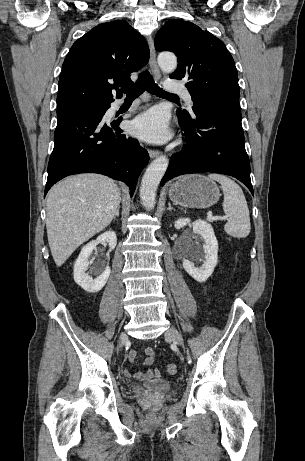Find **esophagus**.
I'll list each match as a JSON object with an SVG mask.
<instances>
[{
    "instance_id": "esophagus-1",
    "label": "esophagus",
    "mask_w": 305,
    "mask_h": 461,
    "mask_svg": "<svg viewBox=\"0 0 305 461\" xmlns=\"http://www.w3.org/2000/svg\"><path fill=\"white\" fill-rule=\"evenodd\" d=\"M148 41H149V49H150V59H149L150 68H151L153 76L156 79H160L161 73H160L159 67L156 62V54H155L153 38L150 36L148 38ZM160 154L161 152L159 150H149L150 158H156Z\"/></svg>"
}]
</instances>
